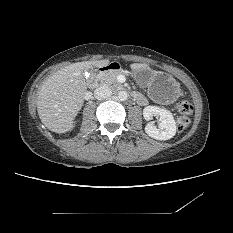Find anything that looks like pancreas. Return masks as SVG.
<instances>
[{
	"label": "pancreas",
	"instance_id": "obj_1",
	"mask_svg": "<svg viewBox=\"0 0 233 233\" xmlns=\"http://www.w3.org/2000/svg\"><path fill=\"white\" fill-rule=\"evenodd\" d=\"M121 73L122 72H113V71L103 72L100 75V81L102 84L108 86L113 85L114 87H121V84L117 81V76Z\"/></svg>",
	"mask_w": 233,
	"mask_h": 233
}]
</instances>
